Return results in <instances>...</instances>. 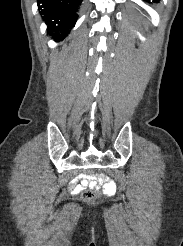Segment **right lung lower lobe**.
Wrapping results in <instances>:
<instances>
[{"mask_svg":"<svg viewBox=\"0 0 183 246\" xmlns=\"http://www.w3.org/2000/svg\"><path fill=\"white\" fill-rule=\"evenodd\" d=\"M83 0H37L43 20L48 25L47 33L55 41L63 40L76 20L79 5Z\"/></svg>","mask_w":183,"mask_h":246,"instance_id":"obj_1","label":"right lung lower lobe"}]
</instances>
